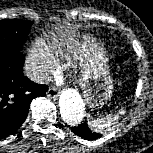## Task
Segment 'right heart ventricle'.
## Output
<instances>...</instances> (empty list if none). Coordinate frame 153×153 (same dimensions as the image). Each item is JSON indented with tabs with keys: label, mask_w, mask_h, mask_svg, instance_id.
Instances as JSON below:
<instances>
[{
	"label": "right heart ventricle",
	"mask_w": 153,
	"mask_h": 153,
	"mask_svg": "<svg viewBox=\"0 0 153 153\" xmlns=\"http://www.w3.org/2000/svg\"><path fill=\"white\" fill-rule=\"evenodd\" d=\"M49 51H50L53 58H56L59 56V51L57 49H55L54 47L49 48Z\"/></svg>",
	"instance_id": "e07e8e85"
}]
</instances>
